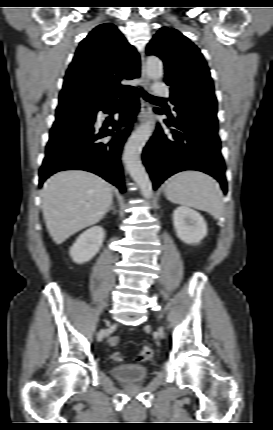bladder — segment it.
<instances>
[{"instance_id":"bladder-1","label":"bladder","mask_w":273,"mask_h":430,"mask_svg":"<svg viewBox=\"0 0 273 430\" xmlns=\"http://www.w3.org/2000/svg\"><path fill=\"white\" fill-rule=\"evenodd\" d=\"M113 376L123 383H138L148 377V368L140 364H121L112 369Z\"/></svg>"}]
</instances>
